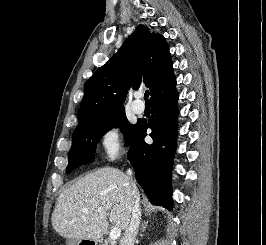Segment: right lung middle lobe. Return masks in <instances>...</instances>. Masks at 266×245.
<instances>
[{
    "instance_id": "dd1d6c3e",
    "label": "right lung middle lobe",
    "mask_w": 266,
    "mask_h": 245,
    "mask_svg": "<svg viewBox=\"0 0 266 245\" xmlns=\"http://www.w3.org/2000/svg\"><path fill=\"white\" fill-rule=\"evenodd\" d=\"M112 128H120L125 134L126 144H130L135 125L127 121L124 110L79 121L72 135L66 173L92 162L97 143Z\"/></svg>"
}]
</instances>
